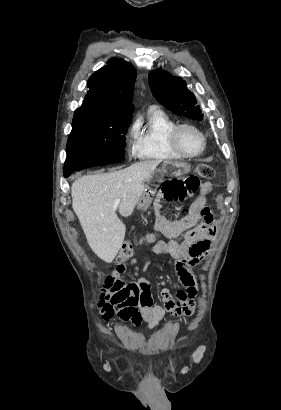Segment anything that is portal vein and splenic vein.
Masks as SVG:
<instances>
[{"label": "portal vein and splenic vein", "mask_w": 281, "mask_h": 410, "mask_svg": "<svg viewBox=\"0 0 281 410\" xmlns=\"http://www.w3.org/2000/svg\"><path fill=\"white\" fill-rule=\"evenodd\" d=\"M120 202H121V200H120L119 198H117V199L114 201V206L117 207V206L120 204Z\"/></svg>", "instance_id": "1"}]
</instances>
